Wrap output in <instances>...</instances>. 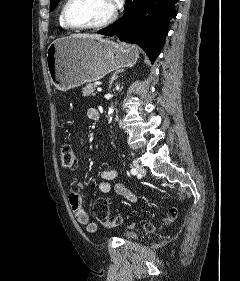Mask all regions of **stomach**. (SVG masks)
<instances>
[{
  "mask_svg": "<svg viewBox=\"0 0 240 281\" xmlns=\"http://www.w3.org/2000/svg\"><path fill=\"white\" fill-rule=\"evenodd\" d=\"M46 56L51 82L66 91L99 80L111 71L133 66L139 50L108 39L69 36L50 43Z\"/></svg>",
  "mask_w": 240,
  "mask_h": 281,
  "instance_id": "0dacf381",
  "label": "stomach"
}]
</instances>
